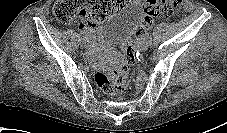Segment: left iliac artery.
Returning a JSON list of instances; mask_svg holds the SVG:
<instances>
[{
	"label": "left iliac artery",
	"instance_id": "44dca946",
	"mask_svg": "<svg viewBox=\"0 0 227 133\" xmlns=\"http://www.w3.org/2000/svg\"><path fill=\"white\" fill-rule=\"evenodd\" d=\"M150 34H151L150 31H148V32L146 33L147 36H151Z\"/></svg>",
	"mask_w": 227,
	"mask_h": 133
}]
</instances>
